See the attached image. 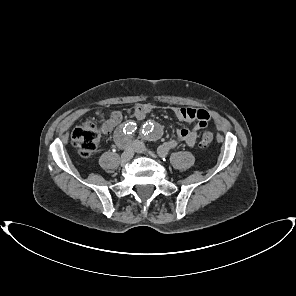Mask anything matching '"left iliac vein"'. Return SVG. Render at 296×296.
<instances>
[{"instance_id": "left-iliac-vein-1", "label": "left iliac vein", "mask_w": 296, "mask_h": 296, "mask_svg": "<svg viewBox=\"0 0 296 296\" xmlns=\"http://www.w3.org/2000/svg\"><path fill=\"white\" fill-rule=\"evenodd\" d=\"M133 148L137 153H143L145 151L144 144L137 140L133 142Z\"/></svg>"}]
</instances>
